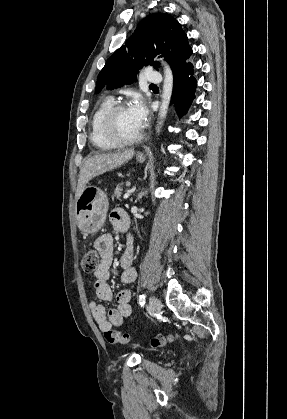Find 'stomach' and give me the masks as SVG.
I'll return each instance as SVG.
<instances>
[{"label":"stomach","instance_id":"1","mask_svg":"<svg viewBox=\"0 0 287 419\" xmlns=\"http://www.w3.org/2000/svg\"><path fill=\"white\" fill-rule=\"evenodd\" d=\"M136 160L143 163L146 158L137 155ZM108 206L107 195L103 190L92 185L85 186L75 203V216L79 228L88 234L98 232L105 223Z\"/></svg>","mask_w":287,"mask_h":419}]
</instances>
